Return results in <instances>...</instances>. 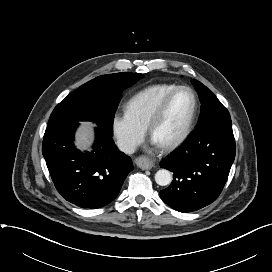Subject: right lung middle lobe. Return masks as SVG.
Masks as SVG:
<instances>
[{"mask_svg": "<svg viewBox=\"0 0 272 272\" xmlns=\"http://www.w3.org/2000/svg\"><path fill=\"white\" fill-rule=\"evenodd\" d=\"M143 77L139 73H115L83 84L55 107L47 128L67 122L92 121L112 135L113 119L122 90Z\"/></svg>", "mask_w": 272, "mask_h": 272, "instance_id": "right-lung-middle-lobe-1", "label": "right lung middle lobe"}]
</instances>
